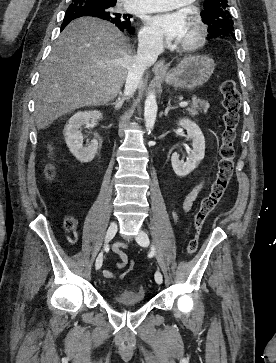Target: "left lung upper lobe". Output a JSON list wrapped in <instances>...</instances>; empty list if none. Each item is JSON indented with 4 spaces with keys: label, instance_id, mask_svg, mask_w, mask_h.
<instances>
[{
    "label": "left lung upper lobe",
    "instance_id": "1",
    "mask_svg": "<svg viewBox=\"0 0 276 363\" xmlns=\"http://www.w3.org/2000/svg\"><path fill=\"white\" fill-rule=\"evenodd\" d=\"M203 22L208 25L210 37L235 36L232 16L227 0H205L204 11L201 12Z\"/></svg>",
    "mask_w": 276,
    "mask_h": 363
}]
</instances>
